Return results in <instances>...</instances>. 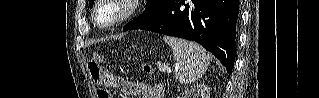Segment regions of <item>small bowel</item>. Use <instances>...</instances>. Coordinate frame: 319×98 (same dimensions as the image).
<instances>
[{
    "label": "small bowel",
    "instance_id": "1",
    "mask_svg": "<svg viewBox=\"0 0 319 98\" xmlns=\"http://www.w3.org/2000/svg\"><path fill=\"white\" fill-rule=\"evenodd\" d=\"M107 84L119 89L126 97L162 98L163 89L159 85H149L139 81H127L119 76H108Z\"/></svg>",
    "mask_w": 319,
    "mask_h": 98
}]
</instances>
